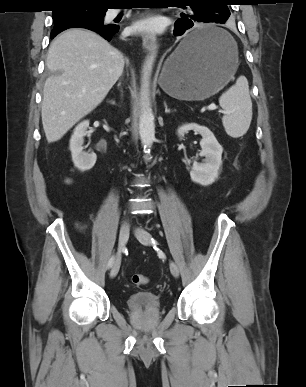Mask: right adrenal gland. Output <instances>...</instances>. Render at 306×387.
I'll return each mask as SVG.
<instances>
[{
    "instance_id": "obj_1",
    "label": "right adrenal gland",
    "mask_w": 306,
    "mask_h": 387,
    "mask_svg": "<svg viewBox=\"0 0 306 387\" xmlns=\"http://www.w3.org/2000/svg\"><path fill=\"white\" fill-rule=\"evenodd\" d=\"M110 104H112V105H116V102H115V100H111V101H110Z\"/></svg>"
}]
</instances>
